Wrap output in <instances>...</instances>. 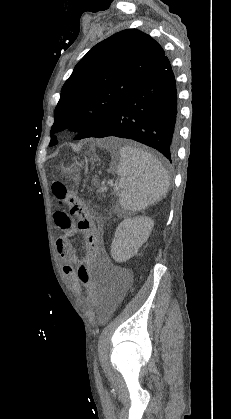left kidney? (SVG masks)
<instances>
[{
    "label": "left kidney",
    "mask_w": 231,
    "mask_h": 419,
    "mask_svg": "<svg viewBox=\"0 0 231 419\" xmlns=\"http://www.w3.org/2000/svg\"><path fill=\"white\" fill-rule=\"evenodd\" d=\"M153 226L154 221L145 216L123 220L116 228L111 244L112 258L122 263L136 255L149 238Z\"/></svg>",
    "instance_id": "5707ae66"
}]
</instances>
